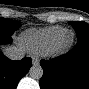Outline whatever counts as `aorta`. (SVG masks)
<instances>
[{
    "label": "aorta",
    "instance_id": "aorta-1",
    "mask_svg": "<svg viewBox=\"0 0 89 89\" xmlns=\"http://www.w3.org/2000/svg\"><path fill=\"white\" fill-rule=\"evenodd\" d=\"M29 75L33 79H40L43 75V69L40 65H33L29 70Z\"/></svg>",
    "mask_w": 89,
    "mask_h": 89
}]
</instances>
